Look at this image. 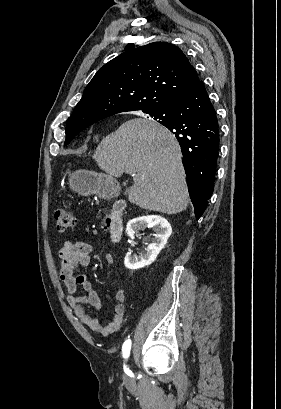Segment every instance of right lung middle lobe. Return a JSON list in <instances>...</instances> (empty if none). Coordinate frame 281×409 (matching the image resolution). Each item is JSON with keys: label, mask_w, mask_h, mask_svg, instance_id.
Here are the masks:
<instances>
[{"label": "right lung middle lobe", "mask_w": 281, "mask_h": 409, "mask_svg": "<svg viewBox=\"0 0 281 409\" xmlns=\"http://www.w3.org/2000/svg\"><path fill=\"white\" fill-rule=\"evenodd\" d=\"M157 120V119H155ZM159 123L161 120H157ZM88 126H81V127H66V140L64 145L69 144L72 139L83 129L87 128Z\"/></svg>", "instance_id": "right-lung-middle-lobe-1"}]
</instances>
